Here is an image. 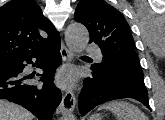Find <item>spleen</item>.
<instances>
[{"label":"spleen","mask_w":165,"mask_h":120,"mask_svg":"<svg viewBox=\"0 0 165 120\" xmlns=\"http://www.w3.org/2000/svg\"><path fill=\"white\" fill-rule=\"evenodd\" d=\"M111 111L117 120H148L138 107L125 101H112L99 107Z\"/></svg>","instance_id":"1"}]
</instances>
